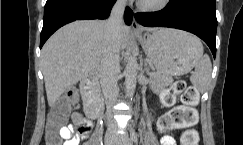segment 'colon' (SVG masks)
Returning <instances> with one entry per match:
<instances>
[{
	"mask_svg": "<svg viewBox=\"0 0 243 145\" xmlns=\"http://www.w3.org/2000/svg\"><path fill=\"white\" fill-rule=\"evenodd\" d=\"M178 94H181L183 105L176 106L162 115L158 121V128L161 131L177 128L186 129L182 135L181 145H198V133L192 129L197 121L194 105L198 101V92L194 87L187 86L184 80H176L170 89L162 95V103L165 106H172ZM75 98V93L68 91L58 100L49 113L46 125L47 145H62L60 131L65 127ZM75 126L79 133H88L91 130L90 123L82 117L75 120Z\"/></svg>",
	"mask_w": 243,
	"mask_h": 145,
	"instance_id": "obj_1",
	"label": "colon"
}]
</instances>
